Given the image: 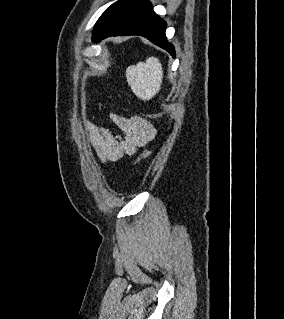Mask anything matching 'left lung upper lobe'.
Listing matches in <instances>:
<instances>
[{
    "label": "left lung upper lobe",
    "instance_id": "5c2ea615",
    "mask_svg": "<svg viewBox=\"0 0 284 319\" xmlns=\"http://www.w3.org/2000/svg\"><path fill=\"white\" fill-rule=\"evenodd\" d=\"M123 2H124V0H119L105 10V12L101 15V17L98 19L97 23L95 24V27L93 30L92 40H94L96 38V36L110 22V20L116 14V12L118 11V9L120 8V6L122 5Z\"/></svg>",
    "mask_w": 284,
    "mask_h": 319
}]
</instances>
